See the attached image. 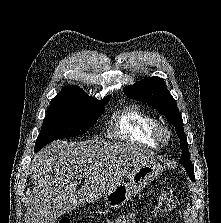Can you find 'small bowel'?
I'll return each mask as SVG.
<instances>
[{"label":"small bowel","mask_w":221,"mask_h":223,"mask_svg":"<svg viewBox=\"0 0 221 223\" xmlns=\"http://www.w3.org/2000/svg\"><path fill=\"white\" fill-rule=\"evenodd\" d=\"M117 223H134V216H123L118 219Z\"/></svg>","instance_id":"1"}]
</instances>
